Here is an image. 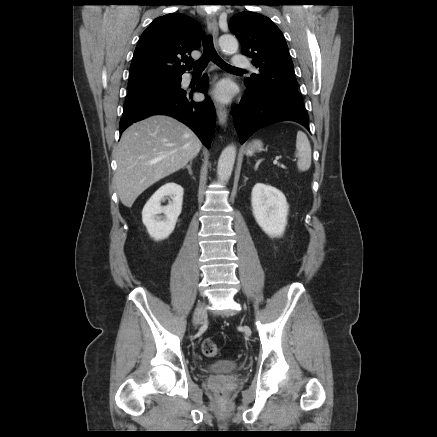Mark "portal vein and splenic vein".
Masks as SVG:
<instances>
[{
    "instance_id": "portal-vein-and-splenic-vein-1",
    "label": "portal vein and splenic vein",
    "mask_w": 437,
    "mask_h": 437,
    "mask_svg": "<svg viewBox=\"0 0 437 437\" xmlns=\"http://www.w3.org/2000/svg\"><path fill=\"white\" fill-rule=\"evenodd\" d=\"M275 165L277 164V161L275 160L274 162H273ZM282 168H285V166H283V165H280Z\"/></svg>"
}]
</instances>
